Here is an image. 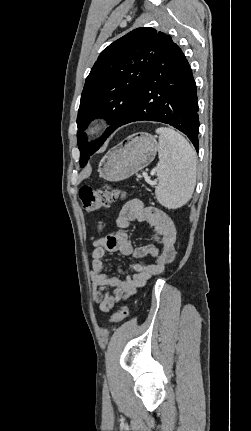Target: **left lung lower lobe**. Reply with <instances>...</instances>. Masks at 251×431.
Instances as JSON below:
<instances>
[{"instance_id":"1","label":"left lung lower lobe","mask_w":251,"mask_h":431,"mask_svg":"<svg viewBox=\"0 0 251 431\" xmlns=\"http://www.w3.org/2000/svg\"><path fill=\"white\" fill-rule=\"evenodd\" d=\"M198 102L192 70L183 52L169 36L126 118L119 125L135 121H157L183 132L198 150Z\"/></svg>"}]
</instances>
